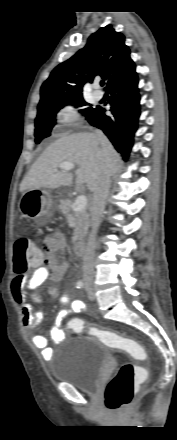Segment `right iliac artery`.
<instances>
[{"label": "right iliac artery", "instance_id": "obj_1", "mask_svg": "<svg viewBox=\"0 0 177 440\" xmlns=\"http://www.w3.org/2000/svg\"><path fill=\"white\" fill-rule=\"evenodd\" d=\"M84 283L82 281H78L76 284V288H82Z\"/></svg>", "mask_w": 177, "mask_h": 440}]
</instances>
